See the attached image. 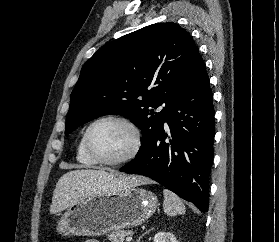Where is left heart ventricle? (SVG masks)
Wrapping results in <instances>:
<instances>
[{
  "mask_svg": "<svg viewBox=\"0 0 279 242\" xmlns=\"http://www.w3.org/2000/svg\"><path fill=\"white\" fill-rule=\"evenodd\" d=\"M91 147L101 158L118 159L132 147V133L123 124L106 121L98 124L91 132Z\"/></svg>",
  "mask_w": 279,
  "mask_h": 242,
  "instance_id": "1",
  "label": "left heart ventricle"
}]
</instances>
